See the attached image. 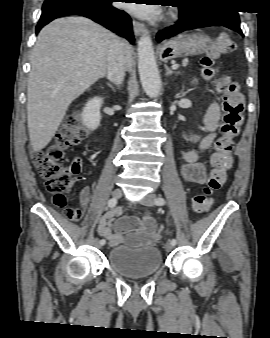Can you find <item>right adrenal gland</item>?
Wrapping results in <instances>:
<instances>
[{"label": "right adrenal gland", "mask_w": 270, "mask_h": 338, "mask_svg": "<svg viewBox=\"0 0 270 338\" xmlns=\"http://www.w3.org/2000/svg\"><path fill=\"white\" fill-rule=\"evenodd\" d=\"M107 85L112 89L113 92L116 91V88L110 82H108Z\"/></svg>", "instance_id": "obj_1"}]
</instances>
